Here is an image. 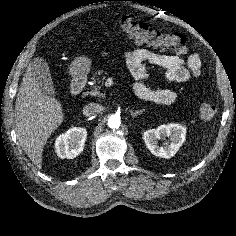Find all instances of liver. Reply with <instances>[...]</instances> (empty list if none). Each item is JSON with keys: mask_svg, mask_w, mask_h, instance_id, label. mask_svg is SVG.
<instances>
[{"mask_svg": "<svg viewBox=\"0 0 236 236\" xmlns=\"http://www.w3.org/2000/svg\"><path fill=\"white\" fill-rule=\"evenodd\" d=\"M31 64L25 71L16 98L15 130L19 145L41 169L44 145L62 124L64 113L60 102L40 90Z\"/></svg>", "mask_w": 236, "mask_h": 236, "instance_id": "liver-1", "label": "liver"}]
</instances>
